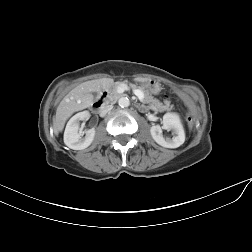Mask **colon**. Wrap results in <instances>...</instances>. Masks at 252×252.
Listing matches in <instances>:
<instances>
[{
  "label": "colon",
  "instance_id": "1",
  "mask_svg": "<svg viewBox=\"0 0 252 252\" xmlns=\"http://www.w3.org/2000/svg\"><path fill=\"white\" fill-rule=\"evenodd\" d=\"M188 123H189L190 127H193L195 124V114L192 111L188 115Z\"/></svg>",
  "mask_w": 252,
  "mask_h": 252
}]
</instances>
